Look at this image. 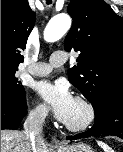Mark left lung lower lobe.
I'll list each match as a JSON object with an SVG mask.
<instances>
[{"instance_id":"obj_1","label":"left lung lower lobe","mask_w":123,"mask_h":152,"mask_svg":"<svg viewBox=\"0 0 123 152\" xmlns=\"http://www.w3.org/2000/svg\"><path fill=\"white\" fill-rule=\"evenodd\" d=\"M95 124L84 133L68 136V140L97 136H117L123 139V95H112L95 107Z\"/></svg>"}]
</instances>
